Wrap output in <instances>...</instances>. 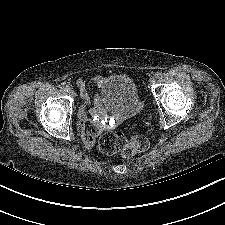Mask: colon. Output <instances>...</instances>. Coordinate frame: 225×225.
Returning <instances> with one entry per match:
<instances>
[{"label": "colon", "instance_id": "colon-1", "mask_svg": "<svg viewBox=\"0 0 225 225\" xmlns=\"http://www.w3.org/2000/svg\"><path fill=\"white\" fill-rule=\"evenodd\" d=\"M149 147L148 139L143 135H135L127 138L119 132L104 133L99 141V150L106 155L120 153L124 158H131L138 153L144 152Z\"/></svg>", "mask_w": 225, "mask_h": 225}]
</instances>
